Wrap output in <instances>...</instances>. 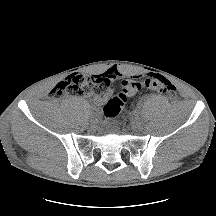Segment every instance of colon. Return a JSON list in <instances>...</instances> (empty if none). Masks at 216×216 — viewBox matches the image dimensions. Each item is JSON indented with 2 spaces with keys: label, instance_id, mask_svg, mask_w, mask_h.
Instances as JSON below:
<instances>
[{
  "label": "colon",
  "instance_id": "1",
  "mask_svg": "<svg viewBox=\"0 0 216 216\" xmlns=\"http://www.w3.org/2000/svg\"><path fill=\"white\" fill-rule=\"evenodd\" d=\"M145 84L151 90L172 99L175 96V86L162 76L154 75L146 79ZM110 87V78L105 74L81 75L75 74L59 82L53 89L55 95L78 94L84 96L100 95ZM141 83L134 80L122 83V92L111 98L103 107L107 118H115L123 109L130 91L140 90Z\"/></svg>",
  "mask_w": 216,
  "mask_h": 216
}]
</instances>
